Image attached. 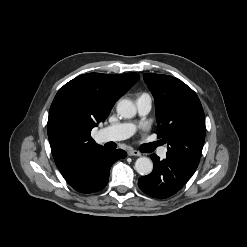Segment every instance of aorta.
<instances>
[{
  "instance_id": "1",
  "label": "aorta",
  "mask_w": 247,
  "mask_h": 247,
  "mask_svg": "<svg viewBox=\"0 0 247 247\" xmlns=\"http://www.w3.org/2000/svg\"><path fill=\"white\" fill-rule=\"evenodd\" d=\"M116 111L118 115L123 118L130 119L136 115V106L135 104L127 99H122L118 102ZM135 170L140 175H148L153 170V163L151 159L147 157H140L135 162Z\"/></svg>"
}]
</instances>
